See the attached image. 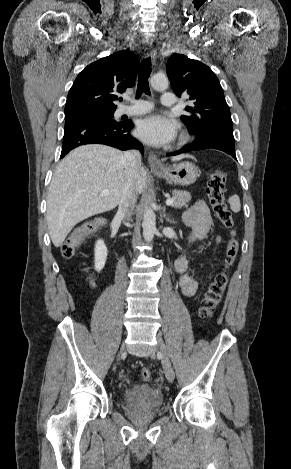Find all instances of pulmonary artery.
I'll use <instances>...</instances> for the list:
<instances>
[{"instance_id":"pulmonary-artery-1","label":"pulmonary artery","mask_w":291,"mask_h":469,"mask_svg":"<svg viewBox=\"0 0 291 469\" xmlns=\"http://www.w3.org/2000/svg\"><path fill=\"white\" fill-rule=\"evenodd\" d=\"M176 103L175 95L171 92H164L161 96V104L164 107H172ZM152 105L145 100H134L132 106H125L120 109V114L140 115L151 110Z\"/></svg>"}]
</instances>
